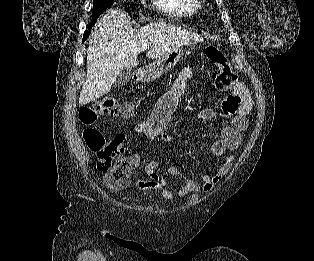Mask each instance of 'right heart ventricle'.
<instances>
[{
    "mask_svg": "<svg viewBox=\"0 0 314 261\" xmlns=\"http://www.w3.org/2000/svg\"><path fill=\"white\" fill-rule=\"evenodd\" d=\"M152 4L160 13L176 18H187L197 11L193 0H152Z\"/></svg>",
    "mask_w": 314,
    "mask_h": 261,
    "instance_id": "right-heart-ventricle-1",
    "label": "right heart ventricle"
}]
</instances>
